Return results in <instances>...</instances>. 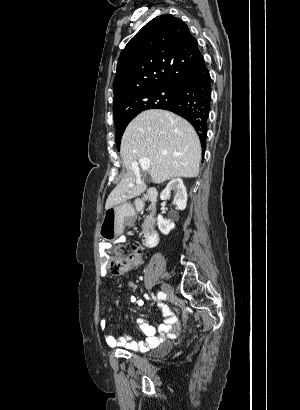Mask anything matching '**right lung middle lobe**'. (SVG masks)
<instances>
[{
    "label": "right lung middle lobe",
    "mask_w": 300,
    "mask_h": 410,
    "mask_svg": "<svg viewBox=\"0 0 300 410\" xmlns=\"http://www.w3.org/2000/svg\"><path fill=\"white\" fill-rule=\"evenodd\" d=\"M177 91V87H169L143 92L138 95L134 103V114L114 119L117 147L119 148L120 146L121 137L126 126L137 114L146 109L161 108L163 105L170 103L177 94Z\"/></svg>",
    "instance_id": "obj_1"
}]
</instances>
